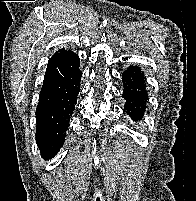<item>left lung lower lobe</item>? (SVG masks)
I'll return each instance as SVG.
<instances>
[{"instance_id":"left-lung-lower-lobe-1","label":"left lung lower lobe","mask_w":196,"mask_h":201,"mask_svg":"<svg viewBox=\"0 0 196 201\" xmlns=\"http://www.w3.org/2000/svg\"><path fill=\"white\" fill-rule=\"evenodd\" d=\"M123 98L126 100L124 111L133 119L140 120L148 99L141 70L130 66L122 73Z\"/></svg>"}]
</instances>
